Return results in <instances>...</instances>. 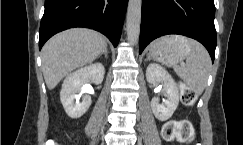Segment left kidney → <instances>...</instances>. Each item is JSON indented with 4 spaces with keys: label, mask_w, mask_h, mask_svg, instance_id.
<instances>
[{
    "label": "left kidney",
    "mask_w": 243,
    "mask_h": 145,
    "mask_svg": "<svg viewBox=\"0 0 243 145\" xmlns=\"http://www.w3.org/2000/svg\"><path fill=\"white\" fill-rule=\"evenodd\" d=\"M146 79L150 84L163 82V91L167 95L165 105L159 104V98L153 97L151 108L155 117L160 121L168 120L179 104V91L171 75L160 65L151 63L146 69Z\"/></svg>",
    "instance_id": "left-kidney-1"
}]
</instances>
